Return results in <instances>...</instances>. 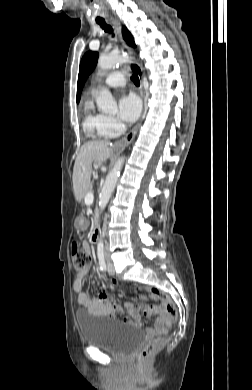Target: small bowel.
I'll list each match as a JSON object with an SVG mask.
<instances>
[{"instance_id": "small-bowel-1", "label": "small bowel", "mask_w": 252, "mask_h": 390, "mask_svg": "<svg viewBox=\"0 0 252 390\" xmlns=\"http://www.w3.org/2000/svg\"><path fill=\"white\" fill-rule=\"evenodd\" d=\"M83 248L87 252L90 251L88 241H83ZM87 275L88 270L79 272L73 281V289L78 293V303L94 315L114 317L116 312L122 313L121 308L105 291L96 290L95 297H91L89 293L82 291ZM126 309L129 315L123 317V322L137 327L142 325L144 316L147 318L154 316L153 326L147 330L150 336L165 333L170 327L171 322L162 306L150 307L145 304H138L137 306L126 304Z\"/></svg>"}]
</instances>
